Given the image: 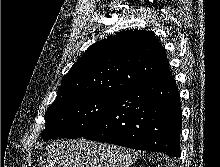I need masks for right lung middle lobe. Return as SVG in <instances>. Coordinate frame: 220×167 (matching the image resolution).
<instances>
[{
	"label": "right lung middle lobe",
	"mask_w": 220,
	"mask_h": 167,
	"mask_svg": "<svg viewBox=\"0 0 220 167\" xmlns=\"http://www.w3.org/2000/svg\"><path fill=\"white\" fill-rule=\"evenodd\" d=\"M114 95L85 94L56 99L48 107L44 140L65 137L79 138L89 131L107 112Z\"/></svg>",
	"instance_id": "dd1d6c3e"
}]
</instances>
